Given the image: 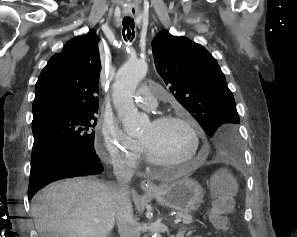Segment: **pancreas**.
Masks as SVG:
<instances>
[{"instance_id":"obj_1","label":"pancreas","mask_w":297,"mask_h":237,"mask_svg":"<svg viewBox=\"0 0 297 237\" xmlns=\"http://www.w3.org/2000/svg\"><path fill=\"white\" fill-rule=\"evenodd\" d=\"M176 218H180L183 224H191L193 222V217L187 213H177Z\"/></svg>"}]
</instances>
